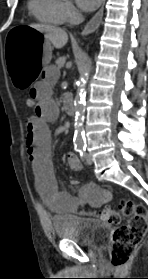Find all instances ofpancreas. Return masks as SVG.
I'll use <instances>...</instances> for the list:
<instances>
[{
	"instance_id": "obj_1",
	"label": "pancreas",
	"mask_w": 148,
	"mask_h": 279,
	"mask_svg": "<svg viewBox=\"0 0 148 279\" xmlns=\"http://www.w3.org/2000/svg\"><path fill=\"white\" fill-rule=\"evenodd\" d=\"M64 63H65V57H60L56 61V64L58 65L59 68L63 67Z\"/></svg>"
}]
</instances>
